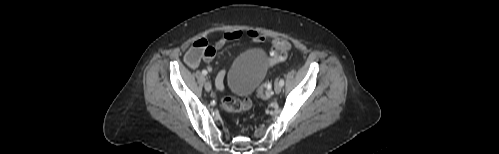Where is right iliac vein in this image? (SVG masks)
Segmentation results:
<instances>
[{
	"label": "right iliac vein",
	"mask_w": 499,
	"mask_h": 154,
	"mask_svg": "<svg viewBox=\"0 0 499 154\" xmlns=\"http://www.w3.org/2000/svg\"><path fill=\"white\" fill-rule=\"evenodd\" d=\"M211 89H212L211 83H210L209 81H207V82L205 83V90H206L207 92H210V91H211Z\"/></svg>",
	"instance_id": "right-iliac-vein-1"
}]
</instances>
